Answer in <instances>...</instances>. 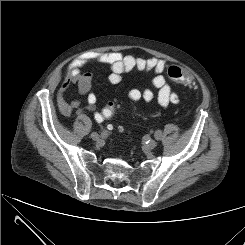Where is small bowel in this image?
<instances>
[{
    "instance_id": "obj_1",
    "label": "small bowel",
    "mask_w": 245,
    "mask_h": 245,
    "mask_svg": "<svg viewBox=\"0 0 245 245\" xmlns=\"http://www.w3.org/2000/svg\"><path fill=\"white\" fill-rule=\"evenodd\" d=\"M91 63L107 64L110 67L109 82L111 84H119L126 73L137 70L141 72H153L152 86L158 90L155 96L151 89H137L132 88L128 92V97L132 102L144 101L151 103L157 100L161 107H167L170 104H177L179 102L178 95L172 90L163 75L167 67V61L156 57L151 58H138L131 55H123L120 52H88L69 65L62 85L58 94V106L61 112L65 115L70 113L71 108L78 110H95L97 97L91 92L93 82V75L90 72H82V68ZM71 85H76L80 94L86 95V106L81 100H74L68 104L65 100V93ZM103 112L95 111L94 119L97 122L104 120Z\"/></svg>"
}]
</instances>
